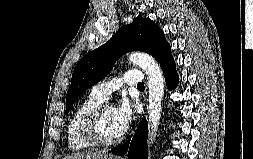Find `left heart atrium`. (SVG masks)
Listing matches in <instances>:
<instances>
[{"label": "left heart atrium", "mask_w": 253, "mask_h": 159, "mask_svg": "<svg viewBox=\"0 0 253 159\" xmlns=\"http://www.w3.org/2000/svg\"><path fill=\"white\" fill-rule=\"evenodd\" d=\"M117 121L122 132H125L134 120V111L131 104L127 100H122L120 104L114 108Z\"/></svg>", "instance_id": "1"}]
</instances>
